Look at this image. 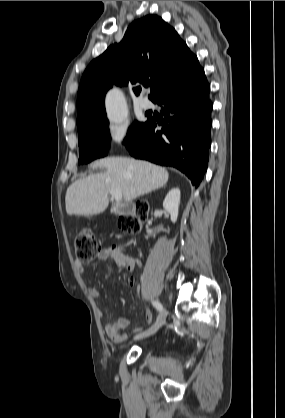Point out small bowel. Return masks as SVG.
Returning a JSON list of instances; mask_svg holds the SVG:
<instances>
[{
    "mask_svg": "<svg viewBox=\"0 0 285 418\" xmlns=\"http://www.w3.org/2000/svg\"><path fill=\"white\" fill-rule=\"evenodd\" d=\"M98 259L110 261L115 266L123 267L126 274H132L135 269V266L139 264V260L137 259H124L121 256L120 250L116 247H107L101 249L98 254ZM75 267L79 273H83L85 271V267L80 263H76ZM128 282L130 284H133V279L128 278ZM88 289L93 296H98V290L94 285L90 284L88 286ZM128 324L129 321L125 316H120L116 321L105 319L103 322V326L107 336L111 339L112 342L117 344L123 342L126 339V329L128 327Z\"/></svg>",
    "mask_w": 285,
    "mask_h": 418,
    "instance_id": "1",
    "label": "small bowel"
}]
</instances>
